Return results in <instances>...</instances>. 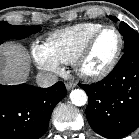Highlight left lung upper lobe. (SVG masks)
<instances>
[{
    "instance_id": "left-lung-upper-lobe-1",
    "label": "left lung upper lobe",
    "mask_w": 139,
    "mask_h": 139,
    "mask_svg": "<svg viewBox=\"0 0 139 139\" xmlns=\"http://www.w3.org/2000/svg\"><path fill=\"white\" fill-rule=\"evenodd\" d=\"M109 18L116 22L118 19L114 16H109ZM120 32L124 37V51H128L139 47V35L126 23H120Z\"/></svg>"
}]
</instances>
